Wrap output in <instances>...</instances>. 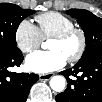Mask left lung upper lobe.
Instances as JSON below:
<instances>
[{"instance_id":"obj_1","label":"left lung upper lobe","mask_w":102,"mask_h":102,"mask_svg":"<svg viewBox=\"0 0 102 102\" xmlns=\"http://www.w3.org/2000/svg\"><path fill=\"white\" fill-rule=\"evenodd\" d=\"M69 15L77 19L86 38V49L81 59L102 55V19L82 9H70Z\"/></svg>"}]
</instances>
